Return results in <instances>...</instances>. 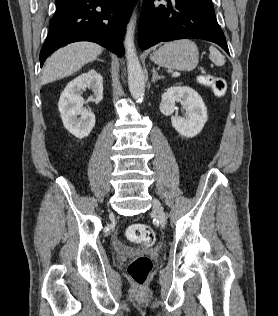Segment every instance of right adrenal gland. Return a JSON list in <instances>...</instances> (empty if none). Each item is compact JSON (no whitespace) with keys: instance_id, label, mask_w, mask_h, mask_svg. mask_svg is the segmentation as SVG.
Wrapping results in <instances>:
<instances>
[{"instance_id":"1","label":"right adrenal gland","mask_w":278,"mask_h":316,"mask_svg":"<svg viewBox=\"0 0 278 316\" xmlns=\"http://www.w3.org/2000/svg\"><path fill=\"white\" fill-rule=\"evenodd\" d=\"M98 61H100V62H104V60H101V59H98Z\"/></svg>"}]
</instances>
